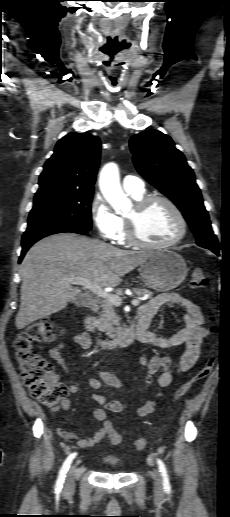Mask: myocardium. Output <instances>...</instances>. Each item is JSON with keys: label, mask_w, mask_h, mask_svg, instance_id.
I'll return each mask as SVG.
<instances>
[{"label": "myocardium", "mask_w": 230, "mask_h": 517, "mask_svg": "<svg viewBox=\"0 0 230 517\" xmlns=\"http://www.w3.org/2000/svg\"><path fill=\"white\" fill-rule=\"evenodd\" d=\"M161 201L165 203L175 214L179 222V231L171 240L163 243H151L143 240L138 232L137 219L145 211V209L153 202ZM126 222V236L127 241L132 245L143 249H164L169 248L179 243L186 235L187 221L179 207L168 197L160 194H151L144 196L137 200L134 205L133 216H127Z\"/></svg>", "instance_id": "obj_1"}]
</instances>
